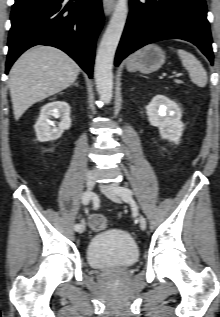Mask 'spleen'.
Listing matches in <instances>:
<instances>
[{
    "mask_svg": "<svg viewBox=\"0 0 220 317\" xmlns=\"http://www.w3.org/2000/svg\"><path fill=\"white\" fill-rule=\"evenodd\" d=\"M182 65L189 72L191 81L199 87H205L208 81L207 72L201 62L191 53L183 50H177Z\"/></svg>",
    "mask_w": 220,
    "mask_h": 317,
    "instance_id": "spleen-1",
    "label": "spleen"
}]
</instances>
